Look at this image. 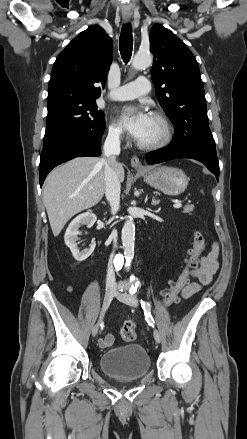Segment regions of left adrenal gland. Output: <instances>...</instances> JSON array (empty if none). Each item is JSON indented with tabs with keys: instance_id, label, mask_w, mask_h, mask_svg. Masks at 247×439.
<instances>
[{
	"instance_id": "obj_1",
	"label": "left adrenal gland",
	"mask_w": 247,
	"mask_h": 439,
	"mask_svg": "<svg viewBox=\"0 0 247 439\" xmlns=\"http://www.w3.org/2000/svg\"><path fill=\"white\" fill-rule=\"evenodd\" d=\"M159 202H160L159 200H155V199L153 198L151 204H152V205H157V204H159Z\"/></svg>"
}]
</instances>
